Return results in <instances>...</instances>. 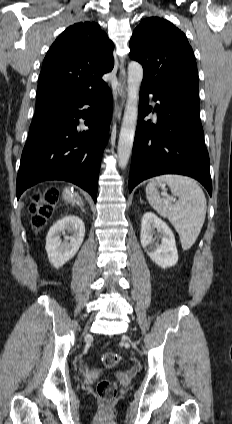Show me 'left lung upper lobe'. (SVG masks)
Listing matches in <instances>:
<instances>
[{"label":"left lung upper lobe","instance_id":"left-lung-upper-lobe-1","mask_svg":"<svg viewBox=\"0 0 232 424\" xmlns=\"http://www.w3.org/2000/svg\"><path fill=\"white\" fill-rule=\"evenodd\" d=\"M130 57L142 64L141 86L158 92L198 94L197 65L189 42L171 22L150 17L134 30Z\"/></svg>","mask_w":232,"mask_h":424}]
</instances>
